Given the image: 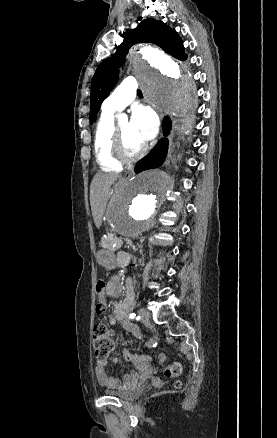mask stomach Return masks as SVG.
Returning <instances> with one entry per match:
<instances>
[{
  "label": "stomach",
  "mask_w": 277,
  "mask_h": 438,
  "mask_svg": "<svg viewBox=\"0 0 277 438\" xmlns=\"http://www.w3.org/2000/svg\"><path fill=\"white\" fill-rule=\"evenodd\" d=\"M98 263L107 269H112L115 267V255L113 251L100 250L97 254Z\"/></svg>",
  "instance_id": "stomach-1"
}]
</instances>
